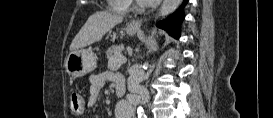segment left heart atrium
<instances>
[{
    "label": "left heart atrium",
    "mask_w": 273,
    "mask_h": 118,
    "mask_svg": "<svg viewBox=\"0 0 273 118\" xmlns=\"http://www.w3.org/2000/svg\"><path fill=\"white\" fill-rule=\"evenodd\" d=\"M140 2L145 5H155L159 2V0H140Z\"/></svg>",
    "instance_id": "1"
}]
</instances>
